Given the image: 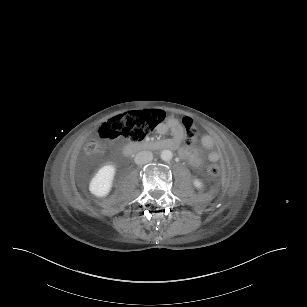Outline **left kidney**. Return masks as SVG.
Instances as JSON below:
<instances>
[{
    "label": "left kidney",
    "mask_w": 307,
    "mask_h": 307,
    "mask_svg": "<svg viewBox=\"0 0 307 307\" xmlns=\"http://www.w3.org/2000/svg\"><path fill=\"white\" fill-rule=\"evenodd\" d=\"M193 185L198 191H201L203 189V183L200 179H193Z\"/></svg>",
    "instance_id": "5707ae66"
}]
</instances>
